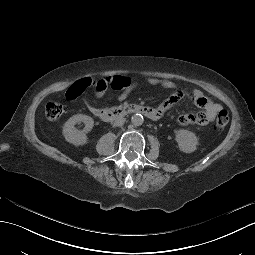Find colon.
Returning a JSON list of instances; mask_svg holds the SVG:
<instances>
[{
    "label": "colon",
    "instance_id": "1",
    "mask_svg": "<svg viewBox=\"0 0 255 255\" xmlns=\"http://www.w3.org/2000/svg\"><path fill=\"white\" fill-rule=\"evenodd\" d=\"M98 82H95L91 79H83L78 83L73 85V90L81 93L86 88H94ZM104 85L111 86L115 89H121L126 84L127 81L124 77L115 76V77H108L103 80ZM65 112V107L58 102H50L46 105L45 114L49 120H56L63 115ZM229 122L228 113L225 110H221L216 118L214 129L215 130H222L226 127Z\"/></svg>",
    "mask_w": 255,
    "mask_h": 255
}]
</instances>
